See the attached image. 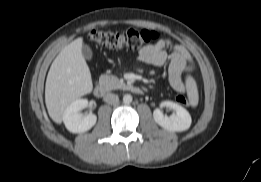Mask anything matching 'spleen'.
<instances>
[{
    "label": "spleen",
    "instance_id": "spleen-1",
    "mask_svg": "<svg viewBox=\"0 0 261 182\" xmlns=\"http://www.w3.org/2000/svg\"><path fill=\"white\" fill-rule=\"evenodd\" d=\"M187 93L192 106H196L198 104V91L197 86L193 78L188 77L186 81Z\"/></svg>",
    "mask_w": 261,
    "mask_h": 182
}]
</instances>
